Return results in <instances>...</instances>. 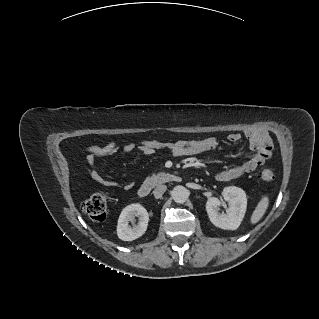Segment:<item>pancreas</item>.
Here are the masks:
<instances>
[{"label": "pancreas", "instance_id": "pancreas-1", "mask_svg": "<svg viewBox=\"0 0 319 319\" xmlns=\"http://www.w3.org/2000/svg\"><path fill=\"white\" fill-rule=\"evenodd\" d=\"M162 173H153L152 176H151V180L154 181L155 183H160L162 182Z\"/></svg>", "mask_w": 319, "mask_h": 319}]
</instances>
